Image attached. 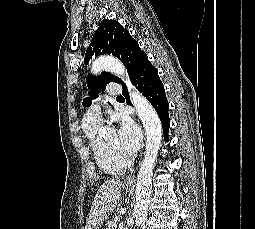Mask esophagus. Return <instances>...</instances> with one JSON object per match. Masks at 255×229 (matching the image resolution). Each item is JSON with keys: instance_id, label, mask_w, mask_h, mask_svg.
Listing matches in <instances>:
<instances>
[{"instance_id": "34e87169", "label": "esophagus", "mask_w": 255, "mask_h": 229, "mask_svg": "<svg viewBox=\"0 0 255 229\" xmlns=\"http://www.w3.org/2000/svg\"><path fill=\"white\" fill-rule=\"evenodd\" d=\"M135 183V176H129L125 179L124 184L125 185H133Z\"/></svg>"}]
</instances>
